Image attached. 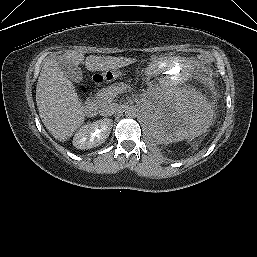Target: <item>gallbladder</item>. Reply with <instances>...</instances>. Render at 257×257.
<instances>
[{"label":"gallbladder","instance_id":"obj_1","mask_svg":"<svg viewBox=\"0 0 257 257\" xmlns=\"http://www.w3.org/2000/svg\"><path fill=\"white\" fill-rule=\"evenodd\" d=\"M57 61L61 70L64 72V75L70 81L79 83L82 80L83 74L80 67L69 63L65 58L62 57V55L57 56Z\"/></svg>","mask_w":257,"mask_h":257}]
</instances>
